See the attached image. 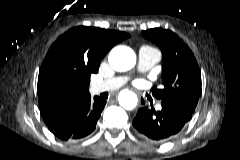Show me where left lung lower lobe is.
<instances>
[{"label":"left lung lower lobe","mask_w":240,"mask_h":160,"mask_svg":"<svg viewBox=\"0 0 240 160\" xmlns=\"http://www.w3.org/2000/svg\"><path fill=\"white\" fill-rule=\"evenodd\" d=\"M192 114L172 105L162 104L161 111L148 107L140 108L133 120V126L143 139L162 143L174 137L190 121Z\"/></svg>","instance_id":"0a47b994"}]
</instances>
